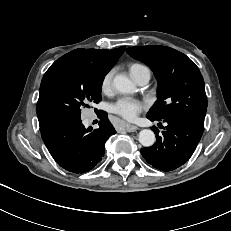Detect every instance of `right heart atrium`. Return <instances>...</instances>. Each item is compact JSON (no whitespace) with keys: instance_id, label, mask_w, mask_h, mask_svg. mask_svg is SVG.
<instances>
[{"instance_id":"d8ad5b80","label":"right heart atrium","mask_w":231,"mask_h":231,"mask_svg":"<svg viewBox=\"0 0 231 231\" xmlns=\"http://www.w3.org/2000/svg\"><path fill=\"white\" fill-rule=\"evenodd\" d=\"M113 75L114 71L110 70L108 71L101 80V91L103 93H110L112 91L113 87Z\"/></svg>"}]
</instances>
